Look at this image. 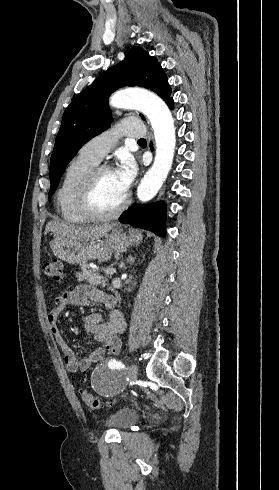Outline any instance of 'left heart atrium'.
Masks as SVG:
<instances>
[{
	"mask_svg": "<svg viewBox=\"0 0 279 490\" xmlns=\"http://www.w3.org/2000/svg\"><path fill=\"white\" fill-rule=\"evenodd\" d=\"M137 173L135 162L131 158H123L121 164L113 170V175L121 195L126 196Z\"/></svg>",
	"mask_w": 279,
	"mask_h": 490,
	"instance_id": "left-heart-atrium-1",
	"label": "left heart atrium"
}]
</instances>
